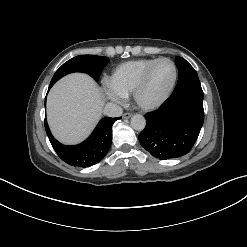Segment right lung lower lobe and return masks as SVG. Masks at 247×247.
Masks as SVG:
<instances>
[{
  "mask_svg": "<svg viewBox=\"0 0 247 247\" xmlns=\"http://www.w3.org/2000/svg\"><path fill=\"white\" fill-rule=\"evenodd\" d=\"M52 86L50 84L49 89ZM117 119L119 117H105L101 119L90 137L75 146H65L59 143L52 136L46 119L44 124L53 149L63 161L78 167H89L100 162L110 149L112 143V125Z\"/></svg>",
  "mask_w": 247,
  "mask_h": 247,
  "instance_id": "98d812e1",
  "label": "right lung lower lobe"
}]
</instances>
